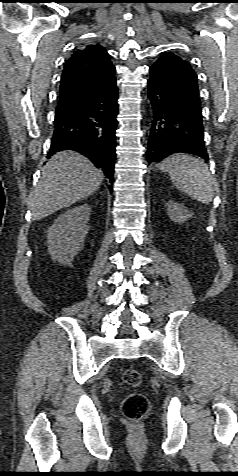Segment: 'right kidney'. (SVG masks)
Instances as JSON below:
<instances>
[{"label": "right kidney", "instance_id": "1", "mask_svg": "<svg viewBox=\"0 0 238 476\" xmlns=\"http://www.w3.org/2000/svg\"><path fill=\"white\" fill-rule=\"evenodd\" d=\"M91 208L81 205L61 214L47 232L48 252L54 261L69 264L88 233Z\"/></svg>", "mask_w": 238, "mask_h": 476}]
</instances>
